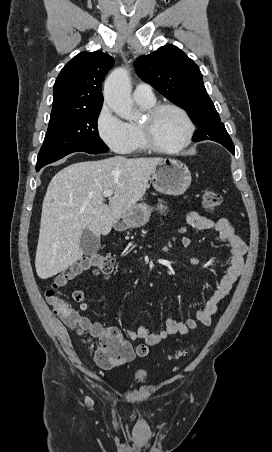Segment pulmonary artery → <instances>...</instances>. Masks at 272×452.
<instances>
[{"mask_svg": "<svg viewBox=\"0 0 272 452\" xmlns=\"http://www.w3.org/2000/svg\"><path fill=\"white\" fill-rule=\"evenodd\" d=\"M136 101L154 102L155 95L152 87L147 83L138 84L133 92Z\"/></svg>", "mask_w": 272, "mask_h": 452, "instance_id": "obj_1", "label": "pulmonary artery"}]
</instances>
